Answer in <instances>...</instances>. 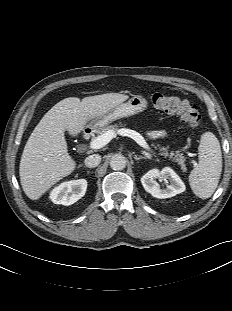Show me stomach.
Here are the masks:
<instances>
[{
	"instance_id": "stomach-1",
	"label": "stomach",
	"mask_w": 232,
	"mask_h": 311,
	"mask_svg": "<svg viewBox=\"0 0 232 311\" xmlns=\"http://www.w3.org/2000/svg\"><path fill=\"white\" fill-rule=\"evenodd\" d=\"M146 107L147 100L143 96H133L128 101L117 105L102 116L93 119L87 125V128L91 129L93 132H98L113 121L138 114L145 110Z\"/></svg>"
}]
</instances>
